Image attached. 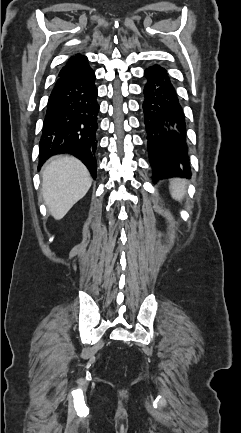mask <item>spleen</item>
Listing matches in <instances>:
<instances>
[{
    "label": "spleen",
    "instance_id": "1",
    "mask_svg": "<svg viewBox=\"0 0 241 433\" xmlns=\"http://www.w3.org/2000/svg\"><path fill=\"white\" fill-rule=\"evenodd\" d=\"M170 193L173 199L181 201L186 193V181L183 179H173L170 183Z\"/></svg>",
    "mask_w": 241,
    "mask_h": 433
}]
</instances>
